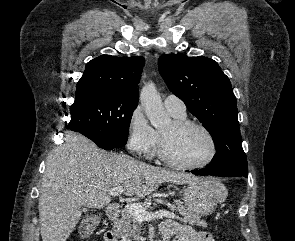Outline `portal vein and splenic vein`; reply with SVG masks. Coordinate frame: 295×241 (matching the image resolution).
Instances as JSON below:
<instances>
[{
	"instance_id": "portal-vein-and-splenic-vein-1",
	"label": "portal vein and splenic vein",
	"mask_w": 295,
	"mask_h": 241,
	"mask_svg": "<svg viewBox=\"0 0 295 241\" xmlns=\"http://www.w3.org/2000/svg\"><path fill=\"white\" fill-rule=\"evenodd\" d=\"M123 192V188L121 186L112 188L110 190H108L109 195L111 196H118ZM130 213L139 221H143V220H150L152 218H158V217H166V218H179L178 216H176L174 213L172 212H168V211H159V212H148L146 211V209L141 206L140 204H129L126 207Z\"/></svg>"
}]
</instances>
